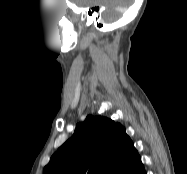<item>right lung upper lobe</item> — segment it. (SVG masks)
<instances>
[{
    "label": "right lung upper lobe",
    "instance_id": "obj_1",
    "mask_svg": "<svg viewBox=\"0 0 187 174\" xmlns=\"http://www.w3.org/2000/svg\"><path fill=\"white\" fill-rule=\"evenodd\" d=\"M142 169L125 128L111 119L89 115L53 154L43 174H137Z\"/></svg>",
    "mask_w": 187,
    "mask_h": 174
}]
</instances>
